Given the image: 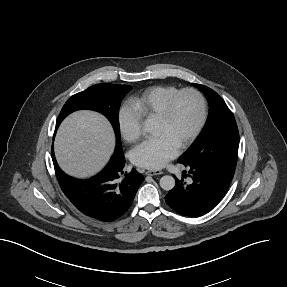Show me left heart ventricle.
Listing matches in <instances>:
<instances>
[{"label":"left heart ventricle","instance_id":"left-heart-ventricle-1","mask_svg":"<svg viewBox=\"0 0 287 287\" xmlns=\"http://www.w3.org/2000/svg\"><path fill=\"white\" fill-rule=\"evenodd\" d=\"M199 104L191 94L181 96L175 103L170 120L156 122L155 135L166 136L177 147L188 137L199 119Z\"/></svg>","mask_w":287,"mask_h":287}]
</instances>
